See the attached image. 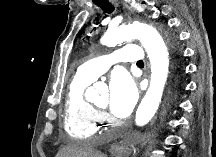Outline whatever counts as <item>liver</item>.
<instances>
[{"label":"liver","instance_id":"6515ba94","mask_svg":"<svg viewBox=\"0 0 216 157\" xmlns=\"http://www.w3.org/2000/svg\"><path fill=\"white\" fill-rule=\"evenodd\" d=\"M57 157H103V154L95 151L86 143L73 142L61 150Z\"/></svg>","mask_w":216,"mask_h":157}]
</instances>
